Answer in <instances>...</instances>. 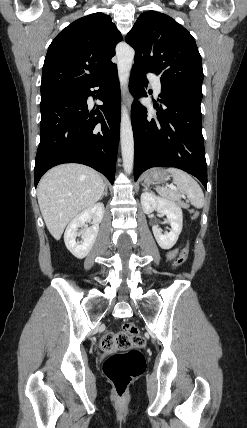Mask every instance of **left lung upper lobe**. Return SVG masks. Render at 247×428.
<instances>
[{
  "label": "left lung upper lobe",
  "mask_w": 247,
  "mask_h": 428,
  "mask_svg": "<svg viewBox=\"0 0 247 428\" xmlns=\"http://www.w3.org/2000/svg\"><path fill=\"white\" fill-rule=\"evenodd\" d=\"M126 42L135 50L133 66L160 75L161 85L202 97L203 69L193 36L160 12L142 13Z\"/></svg>",
  "instance_id": "left-lung-upper-lobe-1"
}]
</instances>
